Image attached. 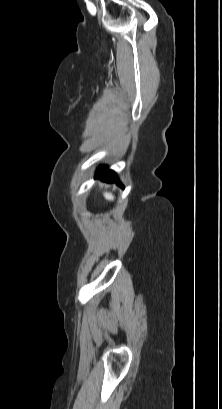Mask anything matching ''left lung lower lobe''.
<instances>
[{
	"mask_svg": "<svg viewBox=\"0 0 222 409\" xmlns=\"http://www.w3.org/2000/svg\"><path fill=\"white\" fill-rule=\"evenodd\" d=\"M97 177L106 182L116 181L118 184H120L116 174L111 170H107L105 166H101L97 170Z\"/></svg>",
	"mask_w": 222,
	"mask_h": 409,
	"instance_id": "obj_1",
	"label": "left lung lower lobe"
}]
</instances>
